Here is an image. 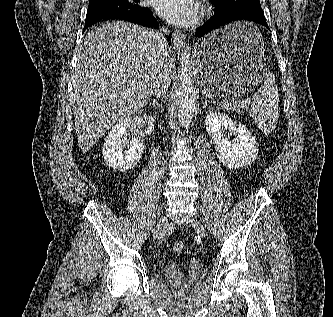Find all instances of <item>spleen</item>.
Here are the masks:
<instances>
[{"instance_id": "spleen-1", "label": "spleen", "mask_w": 333, "mask_h": 317, "mask_svg": "<svg viewBox=\"0 0 333 317\" xmlns=\"http://www.w3.org/2000/svg\"><path fill=\"white\" fill-rule=\"evenodd\" d=\"M257 31L259 32L258 29ZM253 98L250 117L265 135H269L279 118V93L273 75H267L264 84L257 89Z\"/></svg>"}]
</instances>
